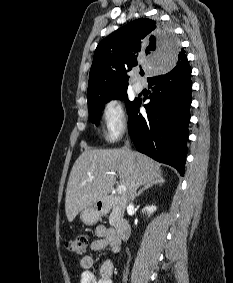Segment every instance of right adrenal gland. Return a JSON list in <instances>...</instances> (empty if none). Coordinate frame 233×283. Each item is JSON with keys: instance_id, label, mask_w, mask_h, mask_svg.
<instances>
[{"instance_id": "right-adrenal-gland-1", "label": "right adrenal gland", "mask_w": 233, "mask_h": 283, "mask_svg": "<svg viewBox=\"0 0 233 283\" xmlns=\"http://www.w3.org/2000/svg\"><path fill=\"white\" fill-rule=\"evenodd\" d=\"M164 182L163 178H159L158 182L156 184H162ZM152 187V185H146L144 188H142L137 194L136 197H139L145 190L149 189Z\"/></svg>"}]
</instances>
